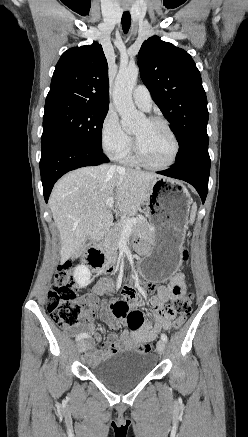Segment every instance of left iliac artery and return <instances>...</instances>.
<instances>
[{
    "label": "left iliac artery",
    "mask_w": 248,
    "mask_h": 437,
    "mask_svg": "<svg viewBox=\"0 0 248 437\" xmlns=\"http://www.w3.org/2000/svg\"><path fill=\"white\" fill-rule=\"evenodd\" d=\"M161 339H162L164 342H167V340H168L167 335H166V334H161Z\"/></svg>",
    "instance_id": "44dca946"
}]
</instances>
